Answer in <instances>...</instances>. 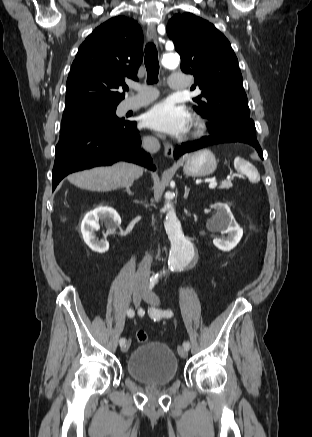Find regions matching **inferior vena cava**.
<instances>
[{"label": "inferior vena cava", "instance_id": "inferior-vena-cava-1", "mask_svg": "<svg viewBox=\"0 0 312 437\" xmlns=\"http://www.w3.org/2000/svg\"><path fill=\"white\" fill-rule=\"evenodd\" d=\"M142 147L149 152H156L160 148V144L155 137H144L142 140ZM152 262V256L146 255L138 267V274H149Z\"/></svg>", "mask_w": 312, "mask_h": 437}]
</instances>
